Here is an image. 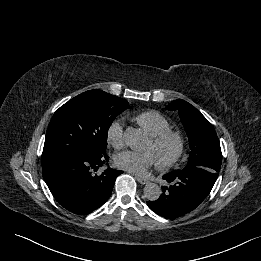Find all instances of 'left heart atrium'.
I'll list each match as a JSON object with an SVG mask.
<instances>
[{
    "instance_id": "left-heart-atrium-1",
    "label": "left heart atrium",
    "mask_w": 261,
    "mask_h": 261,
    "mask_svg": "<svg viewBox=\"0 0 261 261\" xmlns=\"http://www.w3.org/2000/svg\"><path fill=\"white\" fill-rule=\"evenodd\" d=\"M115 164L117 167L135 175H143L157 164V159L153 152L148 150L144 152L126 150L115 156Z\"/></svg>"
}]
</instances>
